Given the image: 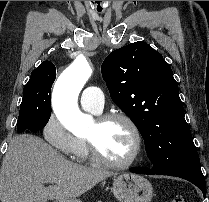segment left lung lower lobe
<instances>
[{"instance_id": "left-lung-lower-lobe-1", "label": "left lung lower lobe", "mask_w": 209, "mask_h": 202, "mask_svg": "<svg viewBox=\"0 0 209 202\" xmlns=\"http://www.w3.org/2000/svg\"><path fill=\"white\" fill-rule=\"evenodd\" d=\"M130 171L139 174H148V175L163 174L168 176L180 177L196 185L198 188L201 189L203 196L204 197L206 196L205 178L201 171L200 160L197 152L188 156L178 166L174 167L169 171H158V170H154L153 168L152 169L133 168L130 169Z\"/></svg>"}]
</instances>
